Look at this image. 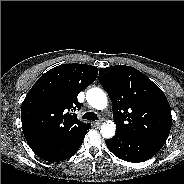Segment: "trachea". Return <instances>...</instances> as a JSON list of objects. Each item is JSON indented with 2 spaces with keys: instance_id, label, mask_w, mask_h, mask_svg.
I'll list each match as a JSON object with an SVG mask.
<instances>
[{
  "instance_id": "obj_1",
  "label": "trachea",
  "mask_w": 184,
  "mask_h": 184,
  "mask_svg": "<svg viewBox=\"0 0 184 184\" xmlns=\"http://www.w3.org/2000/svg\"><path fill=\"white\" fill-rule=\"evenodd\" d=\"M82 118L87 120H92V121L98 120V116L94 112H87L83 115Z\"/></svg>"
}]
</instances>
